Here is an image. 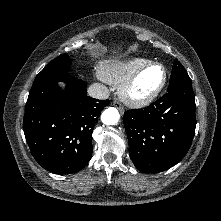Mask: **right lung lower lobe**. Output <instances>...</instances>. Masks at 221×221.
Instances as JSON below:
<instances>
[{"label": "right lung lower lobe", "mask_w": 221, "mask_h": 221, "mask_svg": "<svg viewBox=\"0 0 221 221\" xmlns=\"http://www.w3.org/2000/svg\"><path fill=\"white\" fill-rule=\"evenodd\" d=\"M58 82H65L61 91ZM86 83L68 72L31 89L23 130L35 160L46 170L71 174L84 168L92 155V132L109 100L86 95Z\"/></svg>", "instance_id": "right-lung-lower-lobe-1"}]
</instances>
